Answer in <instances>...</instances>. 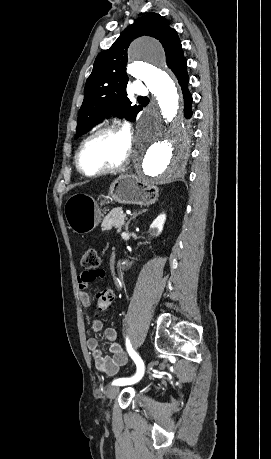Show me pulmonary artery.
Returning a JSON list of instances; mask_svg holds the SVG:
<instances>
[{"label": "pulmonary artery", "mask_w": 271, "mask_h": 459, "mask_svg": "<svg viewBox=\"0 0 271 459\" xmlns=\"http://www.w3.org/2000/svg\"><path fill=\"white\" fill-rule=\"evenodd\" d=\"M135 91L138 98H146L149 95V92L145 89L142 81H137L135 83Z\"/></svg>", "instance_id": "pulmonary-artery-1"}]
</instances>
